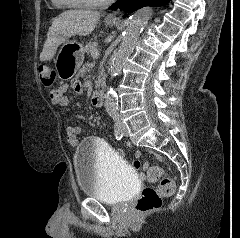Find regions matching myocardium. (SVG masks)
<instances>
[{
	"mask_svg": "<svg viewBox=\"0 0 240 238\" xmlns=\"http://www.w3.org/2000/svg\"><path fill=\"white\" fill-rule=\"evenodd\" d=\"M65 6L77 8H100L109 5L113 0H103L98 2L74 1V0H60Z\"/></svg>",
	"mask_w": 240,
	"mask_h": 238,
	"instance_id": "obj_1",
	"label": "myocardium"
}]
</instances>
